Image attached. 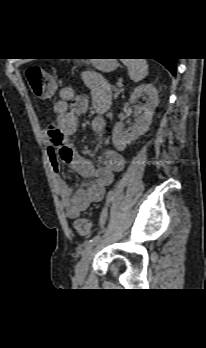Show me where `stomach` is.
I'll return each mask as SVG.
<instances>
[{
  "label": "stomach",
  "mask_w": 206,
  "mask_h": 348,
  "mask_svg": "<svg viewBox=\"0 0 206 348\" xmlns=\"http://www.w3.org/2000/svg\"><path fill=\"white\" fill-rule=\"evenodd\" d=\"M91 63L94 67L104 72L112 71L118 66L116 59H92Z\"/></svg>",
  "instance_id": "0dacf381"
}]
</instances>
